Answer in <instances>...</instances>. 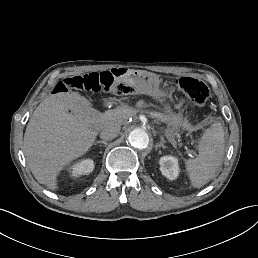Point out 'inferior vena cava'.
I'll return each mask as SVG.
<instances>
[{
	"label": "inferior vena cava",
	"instance_id": "inferior-vena-cava-1",
	"mask_svg": "<svg viewBox=\"0 0 258 258\" xmlns=\"http://www.w3.org/2000/svg\"><path fill=\"white\" fill-rule=\"evenodd\" d=\"M119 133H120V128H118L112 124H109L100 133V138L103 140H112L115 137H117V135H119Z\"/></svg>",
	"mask_w": 258,
	"mask_h": 258
}]
</instances>
